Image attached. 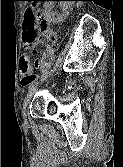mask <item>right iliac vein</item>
<instances>
[{
    "instance_id": "right-iliac-vein-1",
    "label": "right iliac vein",
    "mask_w": 123,
    "mask_h": 167,
    "mask_svg": "<svg viewBox=\"0 0 123 167\" xmlns=\"http://www.w3.org/2000/svg\"><path fill=\"white\" fill-rule=\"evenodd\" d=\"M34 92H35V88L32 91H30L24 99V102H23V112L24 113L26 112L27 106L30 103Z\"/></svg>"
}]
</instances>
